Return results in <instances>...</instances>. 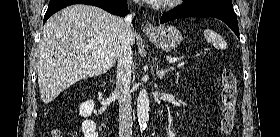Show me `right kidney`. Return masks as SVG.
<instances>
[{
    "mask_svg": "<svg viewBox=\"0 0 280 137\" xmlns=\"http://www.w3.org/2000/svg\"><path fill=\"white\" fill-rule=\"evenodd\" d=\"M94 109V101L93 100H87L83 103H81L80 108H79V113L81 116L87 118L92 114V111ZM82 131L84 133L85 137H95L98 136L96 131V124L91 121L86 119L82 123Z\"/></svg>",
    "mask_w": 280,
    "mask_h": 137,
    "instance_id": "ca27d5eb",
    "label": "right kidney"
}]
</instances>
